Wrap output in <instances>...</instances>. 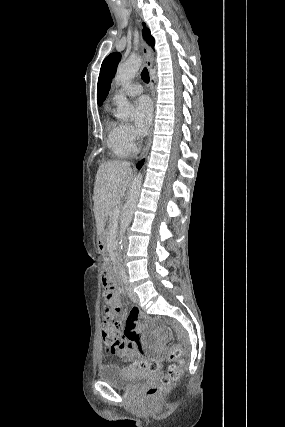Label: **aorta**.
I'll return each mask as SVG.
<instances>
[{
    "instance_id": "aorta-1",
    "label": "aorta",
    "mask_w": 285,
    "mask_h": 427,
    "mask_svg": "<svg viewBox=\"0 0 285 427\" xmlns=\"http://www.w3.org/2000/svg\"><path fill=\"white\" fill-rule=\"evenodd\" d=\"M140 66H141V58L136 55L130 56L125 62L119 64L116 75H115V81L118 84H123L132 80L137 74ZM115 100L117 104V117L123 120H127L133 111L132 104L128 101L127 97L122 94L115 96ZM141 185H142V174L139 173L134 178L130 186L128 198L122 212L120 231H119L120 245L122 244L126 229L130 225L131 220L133 218L134 209L136 207V204L140 196ZM117 258L119 262L122 261L120 256V250Z\"/></svg>"
}]
</instances>
